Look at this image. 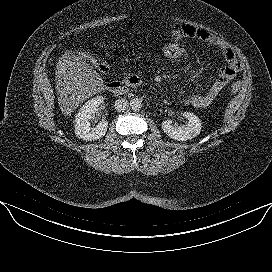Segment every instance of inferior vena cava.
I'll return each instance as SVG.
<instances>
[{
    "instance_id": "obj_1",
    "label": "inferior vena cava",
    "mask_w": 272,
    "mask_h": 272,
    "mask_svg": "<svg viewBox=\"0 0 272 272\" xmlns=\"http://www.w3.org/2000/svg\"><path fill=\"white\" fill-rule=\"evenodd\" d=\"M114 106L116 111L124 112L128 108L129 103L126 99L121 98L115 101Z\"/></svg>"
}]
</instances>
